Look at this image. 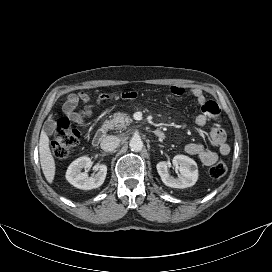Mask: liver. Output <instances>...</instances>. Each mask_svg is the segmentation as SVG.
Listing matches in <instances>:
<instances>
[{"label":"liver","instance_id":"6515ba94","mask_svg":"<svg viewBox=\"0 0 272 272\" xmlns=\"http://www.w3.org/2000/svg\"><path fill=\"white\" fill-rule=\"evenodd\" d=\"M51 117L49 118V120ZM39 156L41 168L46 180L51 184L55 177V160L49 147V138L44 130L41 131L39 140Z\"/></svg>","mask_w":272,"mask_h":272}]
</instances>
